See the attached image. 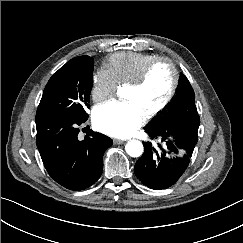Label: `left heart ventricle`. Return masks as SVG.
Returning <instances> with one entry per match:
<instances>
[{"mask_svg": "<svg viewBox=\"0 0 243 243\" xmlns=\"http://www.w3.org/2000/svg\"><path fill=\"white\" fill-rule=\"evenodd\" d=\"M173 80V72L166 62L157 64L150 71L145 83L137 89L126 87L125 101L134 103L145 115L158 107L168 95Z\"/></svg>", "mask_w": 243, "mask_h": 243, "instance_id": "obj_1", "label": "left heart ventricle"}]
</instances>
